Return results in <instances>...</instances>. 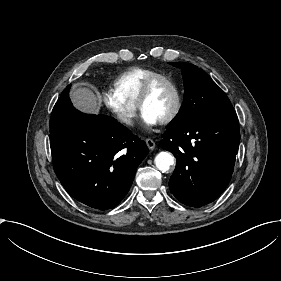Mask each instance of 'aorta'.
<instances>
[{
    "label": "aorta",
    "mask_w": 281,
    "mask_h": 281,
    "mask_svg": "<svg viewBox=\"0 0 281 281\" xmlns=\"http://www.w3.org/2000/svg\"><path fill=\"white\" fill-rule=\"evenodd\" d=\"M154 162L156 167L164 173L167 172L170 167L174 165L175 160L170 152L162 151L156 155Z\"/></svg>",
    "instance_id": "aorta-1"
}]
</instances>
